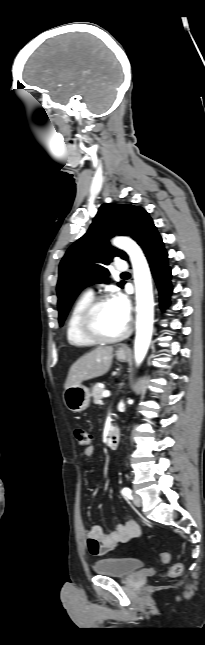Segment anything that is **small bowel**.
Wrapping results in <instances>:
<instances>
[{"label":"small bowel","instance_id":"small-bowel-1","mask_svg":"<svg viewBox=\"0 0 205 645\" xmlns=\"http://www.w3.org/2000/svg\"><path fill=\"white\" fill-rule=\"evenodd\" d=\"M94 448L89 446L81 452L84 458L94 455ZM140 534L138 523L129 518L124 523H119L109 532H105L100 525H93L86 532V544L89 552L94 556H106L112 553L118 545L126 543Z\"/></svg>","mask_w":205,"mask_h":645}]
</instances>
